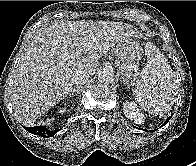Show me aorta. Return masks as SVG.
<instances>
[{"label": "aorta", "mask_w": 196, "mask_h": 166, "mask_svg": "<svg viewBox=\"0 0 196 166\" xmlns=\"http://www.w3.org/2000/svg\"><path fill=\"white\" fill-rule=\"evenodd\" d=\"M115 79V73L111 68L105 67L98 74V80L104 84H110Z\"/></svg>", "instance_id": "762f6f07"}]
</instances>
